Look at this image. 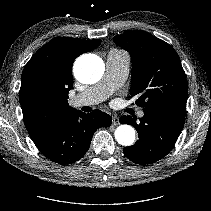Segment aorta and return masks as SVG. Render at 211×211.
<instances>
[{
  "label": "aorta",
  "mask_w": 211,
  "mask_h": 211,
  "mask_svg": "<svg viewBox=\"0 0 211 211\" xmlns=\"http://www.w3.org/2000/svg\"><path fill=\"white\" fill-rule=\"evenodd\" d=\"M104 73V63L96 55L86 54L79 57L74 64L76 79L84 84L97 82ZM115 139L123 146H130L135 140V130L130 125H120L115 130Z\"/></svg>",
  "instance_id": "aorta-1"
}]
</instances>
